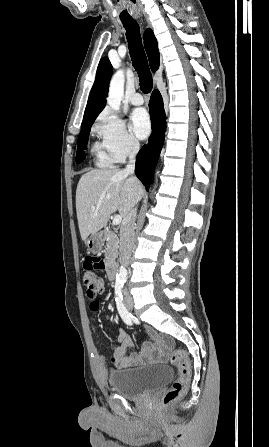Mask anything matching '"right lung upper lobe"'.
<instances>
[{
  "mask_svg": "<svg viewBox=\"0 0 269 447\" xmlns=\"http://www.w3.org/2000/svg\"><path fill=\"white\" fill-rule=\"evenodd\" d=\"M144 45L149 58L150 67L152 71H156L159 68L160 55L157 40L151 29H147L144 33ZM112 74L113 68L109 59L107 57L102 58L97 68L95 83L89 95L82 126L93 123L98 114L105 107L109 81Z\"/></svg>",
  "mask_w": 269,
  "mask_h": 447,
  "instance_id": "right-lung-upper-lobe-1",
  "label": "right lung upper lobe"
}]
</instances>
